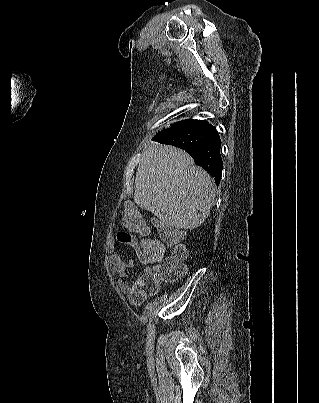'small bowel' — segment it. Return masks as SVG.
<instances>
[{"mask_svg": "<svg viewBox=\"0 0 319 403\" xmlns=\"http://www.w3.org/2000/svg\"><path fill=\"white\" fill-rule=\"evenodd\" d=\"M117 237V243L121 246V249H136L137 243L135 235H130L128 229H119ZM137 255L141 264L146 266L144 269L146 272L150 269L147 265L152 264L153 262L148 260L141 252H137ZM133 266V260L125 261L117 253H112L110 255L109 269L123 278H126V271ZM137 282L138 279L126 284V289L128 291L127 299L130 300V304L134 306L141 305L142 300L146 299V292L142 291V286L137 285Z\"/></svg>", "mask_w": 319, "mask_h": 403, "instance_id": "small-bowel-1", "label": "small bowel"}]
</instances>
